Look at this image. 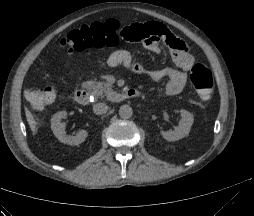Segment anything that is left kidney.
Here are the masks:
<instances>
[{
    "label": "left kidney",
    "mask_w": 254,
    "mask_h": 216,
    "mask_svg": "<svg viewBox=\"0 0 254 216\" xmlns=\"http://www.w3.org/2000/svg\"><path fill=\"white\" fill-rule=\"evenodd\" d=\"M180 114L182 119L179 122L178 127H176L174 130L161 131V135L167 141H177L182 139L186 137L191 130L194 121L193 115L184 109L180 110Z\"/></svg>",
    "instance_id": "5707ae66"
}]
</instances>
